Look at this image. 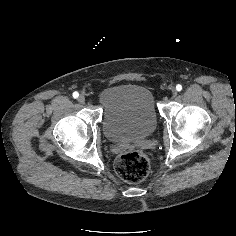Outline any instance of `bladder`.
<instances>
[{
    "label": "bladder",
    "mask_w": 236,
    "mask_h": 236,
    "mask_svg": "<svg viewBox=\"0 0 236 236\" xmlns=\"http://www.w3.org/2000/svg\"><path fill=\"white\" fill-rule=\"evenodd\" d=\"M99 101L103 109L102 129L110 142H128L149 137L158 125L152 91L135 83L113 85Z\"/></svg>",
    "instance_id": "31cf9c89"
}]
</instances>
